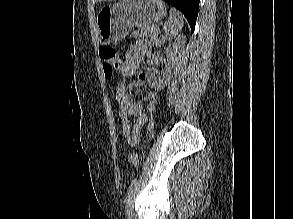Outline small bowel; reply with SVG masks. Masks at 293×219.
Wrapping results in <instances>:
<instances>
[{
    "instance_id": "small-bowel-1",
    "label": "small bowel",
    "mask_w": 293,
    "mask_h": 219,
    "mask_svg": "<svg viewBox=\"0 0 293 219\" xmlns=\"http://www.w3.org/2000/svg\"><path fill=\"white\" fill-rule=\"evenodd\" d=\"M148 50L149 43L147 41H139L130 47L120 67L123 78H129L135 73ZM145 82L146 74L140 73L138 79L132 85L141 87ZM115 97L119 104L122 134L131 146H135L139 142L142 128L147 122V115L143 111L142 105L130 98L128 87L124 82L119 83L116 87ZM156 101L157 95L154 92H149L147 94V107L153 109Z\"/></svg>"
}]
</instances>
